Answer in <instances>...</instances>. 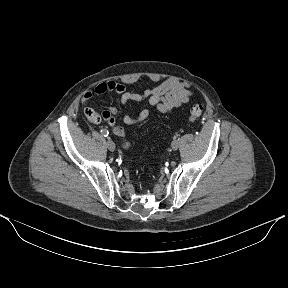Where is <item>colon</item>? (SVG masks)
<instances>
[{"label":"colon","mask_w":288,"mask_h":288,"mask_svg":"<svg viewBox=\"0 0 288 288\" xmlns=\"http://www.w3.org/2000/svg\"><path fill=\"white\" fill-rule=\"evenodd\" d=\"M202 112H203V106L202 105H200V104L193 105L190 109L189 120L191 122H195V120L201 116ZM85 115H86L87 119L93 123H98L102 119V114H99L98 112H96L95 110H93L91 108H87L85 110Z\"/></svg>","instance_id":"obj_1"}]
</instances>
